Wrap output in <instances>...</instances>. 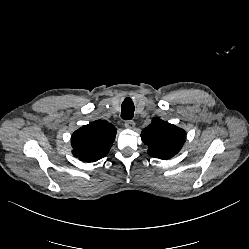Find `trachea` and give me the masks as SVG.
<instances>
[{
    "label": "trachea",
    "instance_id": "trachea-1",
    "mask_svg": "<svg viewBox=\"0 0 249 249\" xmlns=\"http://www.w3.org/2000/svg\"><path fill=\"white\" fill-rule=\"evenodd\" d=\"M134 116V104L130 98H126L122 103L121 117L130 120Z\"/></svg>",
    "mask_w": 249,
    "mask_h": 249
}]
</instances>
